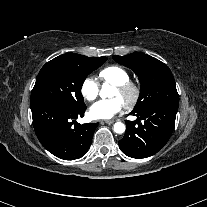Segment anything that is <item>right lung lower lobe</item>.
Segmentation results:
<instances>
[{"instance_id": "right-lung-lower-lobe-1", "label": "right lung lower lobe", "mask_w": 207, "mask_h": 207, "mask_svg": "<svg viewBox=\"0 0 207 207\" xmlns=\"http://www.w3.org/2000/svg\"><path fill=\"white\" fill-rule=\"evenodd\" d=\"M86 106L72 108L56 100L31 102L35 133L41 144L52 154L65 160L84 156L98 124H79Z\"/></svg>"}]
</instances>
